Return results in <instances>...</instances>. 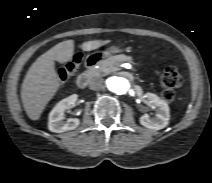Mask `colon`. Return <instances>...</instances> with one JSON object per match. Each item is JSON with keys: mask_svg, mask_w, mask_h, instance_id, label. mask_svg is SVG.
Instances as JSON below:
<instances>
[{"mask_svg": "<svg viewBox=\"0 0 212 183\" xmlns=\"http://www.w3.org/2000/svg\"><path fill=\"white\" fill-rule=\"evenodd\" d=\"M80 57L76 56L66 65L59 69V77L61 81H67L73 76L79 66ZM160 84L163 88L162 97L165 101L170 102L174 99V89L179 88L183 84V77L175 67H168L162 73Z\"/></svg>", "mask_w": 212, "mask_h": 183, "instance_id": "1", "label": "colon"}]
</instances>
